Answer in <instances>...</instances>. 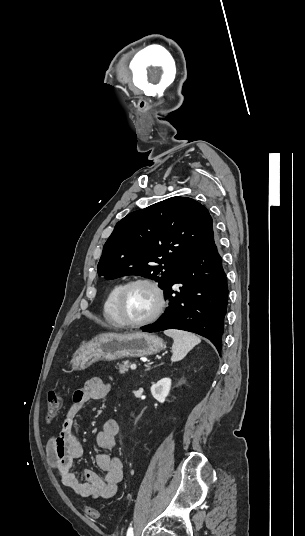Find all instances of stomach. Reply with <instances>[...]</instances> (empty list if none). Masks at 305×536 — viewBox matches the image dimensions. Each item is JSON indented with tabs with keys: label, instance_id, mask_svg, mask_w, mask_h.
I'll list each match as a JSON object with an SVG mask.
<instances>
[{
	"label": "stomach",
	"instance_id": "0dacf381",
	"mask_svg": "<svg viewBox=\"0 0 305 536\" xmlns=\"http://www.w3.org/2000/svg\"><path fill=\"white\" fill-rule=\"evenodd\" d=\"M162 338L146 334V332H133V334H101L80 346L72 356L73 370H86L99 360H120V358H140V356H153L164 350Z\"/></svg>",
	"mask_w": 305,
	"mask_h": 536
}]
</instances>
